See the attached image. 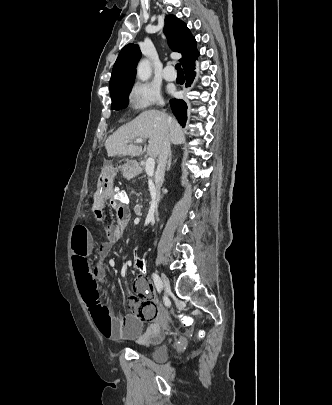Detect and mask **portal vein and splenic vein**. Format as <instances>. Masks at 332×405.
Wrapping results in <instances>:
<instances>
[{
    "label": "portal vein and splenic vein",
    "instance_id": "portal-vein-and-splenic-vein-1",
    "mask_svg": "<svg viewBox=\"0 0 332 405\" xmlns=\"http://www.w3.org/2000/svg\"><path fill=\"white\" fill-rule=\"evenodd\" d=\"M128 142L129 141L127 140L126 143H128ZM135 142L136 143H143V139L137 138L135 140ZM154 168H155V160H154V158L150 157V158L147 159L146 166H145V172L149 177L153 176Z\"/></svg>",
    "mask_w": 332,
    "mask_h": 405
}]
</instances>
